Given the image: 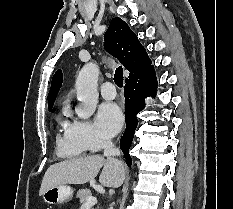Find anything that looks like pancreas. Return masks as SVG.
I'll return each mask as SVG.
<instances>
[{"label": "pancreas", "instance_id": "cf45deb5", "mask_svg": "<svg viewBox=\"0 0 233 209\" xmlns=\"http://www.w3.org/2000/svg\"><path fill=\"white\" fill-rule=\"evenodd\" d=\"M91 195L92 194H91V191L89 189H81L77 192L76 197L79 198L80 203L83 204V203H85L86 199L88 197H90Z\"/></svg>", "mask_w": 233, "mask_h": 209}]
</instances>
